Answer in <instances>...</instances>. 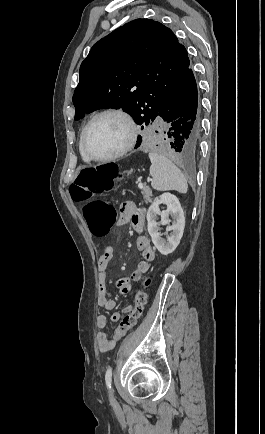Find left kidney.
<instances>
[{
	"instance_id": "obj_1",
	"label": "left kidney",
	"mask_w": 265,
	"mask_h": 434,
	"mask_svg": "<svg viewBox=\"0 0 265 434\" xmlns=\"http://www.w3.org/2000/svg\"><path fill=\"white\" fill-rule=\"evenodd\" d=\"M160 204H166L167 210H163L160 212ZM157 216H161L162 226H166V224H170L171 220H169V216L175 218V222H172V226H168L167 232H171L170 236H167V240L164 238H160L161 234L158 232L159 224L156 222ZM147 230L151 236V240L157 248L160 254L163 256H168V254H172L174 250H176L178 244H180V240L183 236V230L185 228V218L184 212L181 208V204L173 194H162L159 198H155L154 202H152L150 208H148L147 212Z\"/></svg>"
}]
</instances>
